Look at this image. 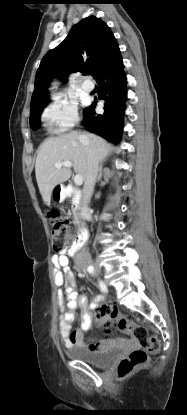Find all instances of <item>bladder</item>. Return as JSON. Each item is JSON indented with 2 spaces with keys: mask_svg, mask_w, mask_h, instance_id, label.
<instances>
[{
  "mask_svg": "<svg viewBox=\"0 0 187 415\" xmlns=\"http://www.w3.org/2000/svg\"><path fill=\"white\" fill-rule=\"evenodd\" d=\"M121 351V347H114L105 351H89L82 347H71L66 350V354L72 359L102 368L108 366Z\"/></svg>",
  "mask_w": 187,
  "mask_h": 415,
  "instance_id": "1",
  "label": "bladder"
}]
</instances>
